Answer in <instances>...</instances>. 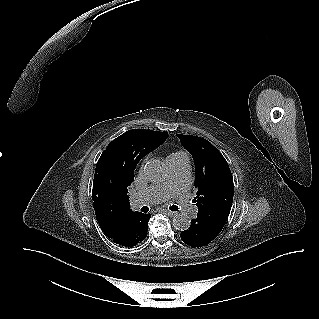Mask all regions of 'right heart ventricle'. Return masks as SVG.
<instances>
[{"instance_id":"e07e8e85","label":"right heart ventricle","mask_w":319,"mask_h":319,"mask_svg":"<svg viewBox=\"0 0 319 319\" xmlns=\"http://www.w3.org/2000/svg\"><path fill=\"white\" fill-rule=\"evenodd\" d=\"M183 155H186V154H185L184 152L177 151V152H174V153L170 154V155L168 156V159H173V158L181 157V156H183ZM168 159H167V160H168Z\"/></svg>"}]
</instances>
